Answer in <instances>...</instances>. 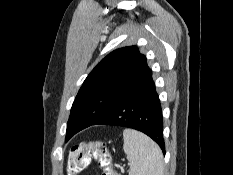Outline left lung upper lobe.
Listing matches in <instances>:
<instances>
[{
    "label": "left lung upper lobe",
    "mask_w": 233,
    "mask_h": 175,
    "mask_svg": "<svg viewBox=\"0 0 233 175\" xmlns=\"http://www.w3.org/2000/svg\"><path fill=\"white\" fill-rule=\"evenodd\" d=\"M148 68L146 57L136 46L117 49L102 59L73 102L65 141L103 116Z\"/></svg>",
    "instance_id": "1"
}]
</instances>
